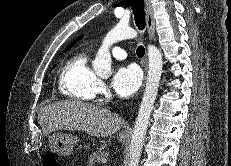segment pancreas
<instances>
[{
	"label": "pancreas",
	"mask_w": 231,
	"mask_h": 166,
	"mask_svg": "<svg viewBox=\"0 0 231 166\" xmlns=\"http://www.w3.org/2000/svg\"><path fill=\"white\" fill-rule=\"evenodd\" d=\"M109 156L108 152L99 151L97 153H93L89 157V166H95L96 163H101L103 159H106Z\"/></svg>",
	"instance_id": "obj_1"
}]
</instances>
